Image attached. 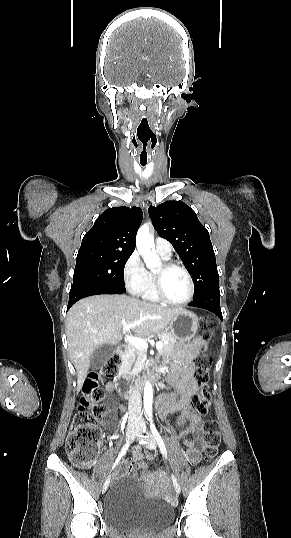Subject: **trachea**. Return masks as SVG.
<instances>
[{
    "label": "trachea",
    "instance_id": "3493384b",
    "mask_svg": "<svg viewBox=\"0 0 291 538\" xmlns=\"http://www.w3.org/2000/svg\"><path fill=\"white\" fill-rule=\"evenodd\" d=\"M146 164L145 163H142V166H145Z\"/></svg>",
    "mask_w": 291,
    "mask_h": 538
}]
</instances>
